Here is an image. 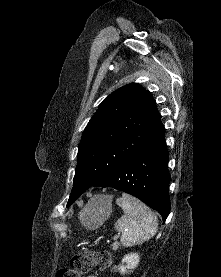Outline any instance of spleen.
Instances as JSON below:
<instances>
[{
  "label": "spleen",
  "mask_w": 221,
  "mask_h": 277,
  "mask_svg": "<svg viewBox=\"0 0 221 277\" xmlns=\"http://www.w3.org/2000/svg\"><path fill=\"white\" fill-rule=\"evenodd\" d=\"M124 215L115 223V229L122 233L121 244L131 247L149 240L157 232L156 215L137 198L122 194L116 200Z\"/></svg>",
  "instance_id": "3e777b00"
}]
</instances>
